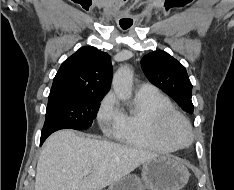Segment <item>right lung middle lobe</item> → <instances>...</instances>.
Segmentation results:
<instances>
[{
    "instance_id": "obj_1",
    "label": "right lung middle lobe",
    "mask_w": 234,
    "mask_h": 190,
    "mask_svg": "<svg viewBox=\"0 0 234 190\" xmlns=\"http://www.w3.org/2000/svg\"><path fill=\"white\" fill-rule=\"evenodd\" d=\"M102 97L65 91H50L41 137L60 129L84 130L96 118Z\"/></svg>"
}]
</instances>
